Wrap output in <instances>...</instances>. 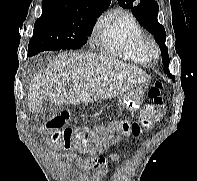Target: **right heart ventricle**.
Listing matches in <instances>:
<instances>
[{
    "instance_id": "obj_1",
    "label": "right heart ventricle",
    "mask_w": 197,
    "mask_h": 181,
    "mask_svg": "<svg viewBox=\"0 0 197 181\" xmlns=\"http://www.w3.org/2000/svg\"><path fill=\"white\" fill-rule=\"evenodd\" d=\"M145 33L130 13L118 12L105 17L98 26L95 48L108 56L136 64L147 63L142 51Z\"/></svg>"
}]
</instances>
